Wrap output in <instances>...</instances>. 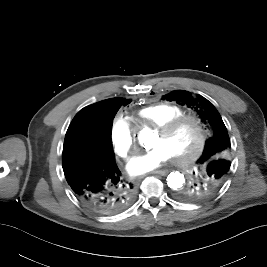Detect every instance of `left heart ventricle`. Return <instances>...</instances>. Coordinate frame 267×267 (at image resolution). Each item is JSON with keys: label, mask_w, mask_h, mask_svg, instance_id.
Wrapping results in <instances>:
<instances>
[{"label": "left heart ventricle", "mask_w": 267, "mask_h": 267, "mask_svg": "<svg viewBox=\"0 0 267 267\" xmlns=\"http://www.w3.org/2000/svg\"><path fill=\"white\" fill-rule=\"evenodd\" d=\"M197 138L198 131L196 126L192 122L186 121L167 136H162L158 133L152 146L161 145L171 155H186L194 148Z\"/></svg>", "instance_id": "b2bd125f"}]
</instances>
